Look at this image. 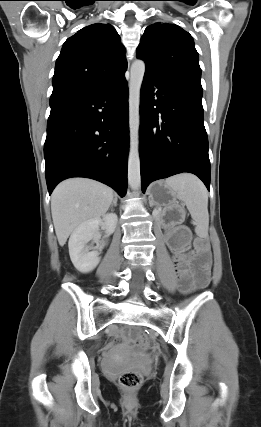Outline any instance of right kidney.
I'll return each mask as SVG.
<instances>
[{"mask_svg":"<svg viewBox=\"0 0 261 427\" xmlns=\"http://www.w3.org/2000/svg\"><path fill=\"white\" fill-rule=\"evenodd\" d=\"M118 222L115 213L105 214L102 218L88 220L77 226L70 236L68 247L72 263L77 270L83 273L92 271L100 262L98 250L90 251L87 243L94 239L99 242V226L103 225L107 235L115 231ZM104 244L100 243L98 249L101 250Z\"/></svg>","mask_w":261,"mask_h":427,"instance_id":"right-kidney-1","label":"right kidney"}]
</instances>
